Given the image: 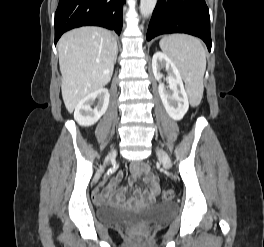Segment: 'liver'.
<instances>
[{
    "label": "liver",
    "instance_id": "1",
    "mask_svg": "<svg viewBox=\"0 0 264 247\" xmlns=\"http://www.w3.org/2000/svg\"><path fill=\"white\" fill-rule=\"evenodd\" d=\"M117 51L113 34L100 27H81L60 38L61 90L68 112L88 94L109 83Z\"/></svg>",
    "mask_w": 264,
    "mask_h": 247
}]
</instances>
